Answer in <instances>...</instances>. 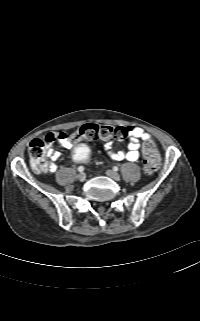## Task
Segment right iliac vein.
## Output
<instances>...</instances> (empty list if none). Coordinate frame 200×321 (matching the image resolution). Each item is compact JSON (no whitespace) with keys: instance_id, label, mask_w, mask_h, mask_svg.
Instances as JSON below:
<instances>
[{"instance_id":"1","label":"right iliac vein","mask_w":200,"mask_h":321,"mask_svg":"<svg viewBox=\"0 0 200 321\" xmlns=\"http://www.w3.org/2000/svg\"><path fill=\"white\" fill-rule=\"evenodd\" d=\"M77 178L79 181L83 182L86 179V175L84 173H79Z\"/></svg>"}]
</instances>
